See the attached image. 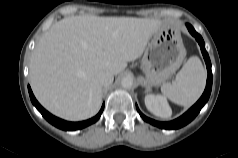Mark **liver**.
Wrapping results in <instances>:
<instances>
[{
	"label": "liver",
	"mask_w": 238,
	"mask_h": 158,
	"mask_svg": "<svg viewBox=\"0 0 238 158\" xmlns=\"http://www.w3.org/2000/svg\"><path fill=\"white\" fill-rule=\"evenodd\" d=\"M155 19L71 16L51 26L30 60V83L37 100L70 121L93 117L102 103L101 70L121 73L144 52L159 28Z\"/></svg>",
	"instance_id": "1"
}]
</instances>
